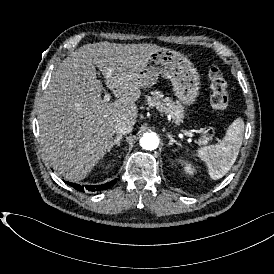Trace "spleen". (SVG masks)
Instances as JSON below:
<instances>
[{"mask_svg":"<svg viewBox=\"0 0 274 274\" xmlns=\"http://www.w3.org/2000/svg\"><path fill=\"white\" fill-rule=\"evenodd\" d=\"M244 121L237 118L228 127L226 136L216 145L198 149V157L208 166V172L213 180L222 178L233 166L242 145Z\"/></svg>","mask_w":274,"mask_h":274,"instance_id":"3e777b00","label":"spleen"}]
</instances>
